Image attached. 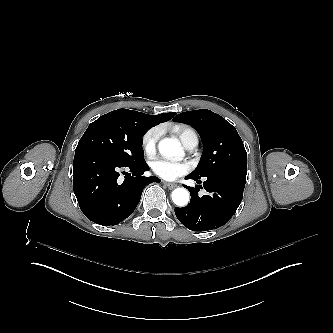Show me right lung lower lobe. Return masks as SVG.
I'll list each match as a JSON object with an SVG mask.
<instances>
[{
  "label": "right lung lower lobe",
  "mask_w": 333,
  "mask_h": 333,
  "mask_svg": "<svg viewBox=\"0 0 333 333\" xmlns=\"http://www.w3.org/2000/svg\"><path fill=\"white\" fill-rule=\"evenodd\" d=\"M121 167L131 172H124L123 183L118 179ZM148 169L145 162L123 165L97 150L76 149L73 189L84 215L104 226L116 225L129 217L140 201L143 188L150 182H160L157 177L142 176Z\"/></svg>",
  "instance_id": "98d812e1"
}]
</instances>
